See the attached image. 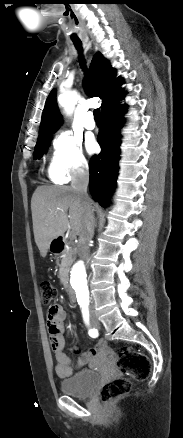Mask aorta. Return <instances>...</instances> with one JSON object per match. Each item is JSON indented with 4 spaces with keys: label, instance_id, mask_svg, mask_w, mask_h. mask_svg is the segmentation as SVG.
Wrapping results in <instances>:
<instances>
[{
    "label": "aorta",
    "instance_id": "obj_1",
    "mask_svg": "<svg viewBox=\"0 0 183 438\" xmlns=\"http://www.w3.org/2000/svg\"><path fill=\"white\" fill-rule=\"evenodd\" d=\"M77 98V93L75 91L66 92L60 97V103L68 114L73 112ZM70 287L74 291L80 305L88 303L90 297L89 280L86 273V267L81 261L77 262L72 268Z\"/></svg>",
    "mask_w": 183,
    "mask_h": 438
}]
</instances>
